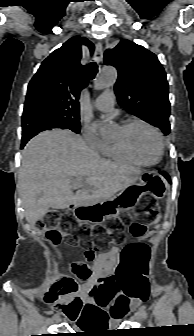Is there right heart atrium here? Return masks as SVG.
<instances>
[{
    "label": "right heart atrium",
    "mask_w": 194,
    "mask_h": 336,
    "mask_svg": "<svg viewBox=\"0 0 194 336\" xmlns=\"http://www.w3.org/2000/svg\"><path fill=\"white\" fill-rule=\"evenodd\" d=\"M83 137L91 150L100 153L103 151L106 143L101 138H99V136L91 127L89 126L84 127Z\"/></svg>",
    "instance_id": "obj_1"
}]
</instances>
